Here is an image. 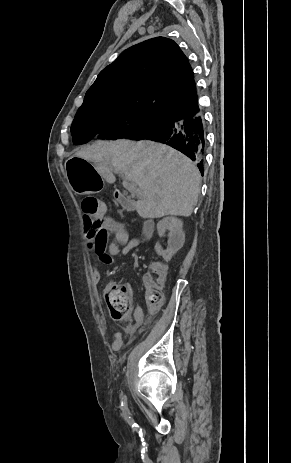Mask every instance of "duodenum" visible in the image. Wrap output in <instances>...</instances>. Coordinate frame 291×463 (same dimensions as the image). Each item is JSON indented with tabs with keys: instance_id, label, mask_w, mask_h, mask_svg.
Masks as SVG:
<instances>
[{
	"instance_id": "410a0bca",
	"label": "duodenum",
	"mask_w": 291,
	"mask_h": 463,
	"mask_svg": "<svg viewBox=\"0 0 291 463\" xmlns=\"http://www.w3.org/2000/svg\"><path fill=\"white\" fill-rule=\"evenodd\" d=\"M114 197L120 203V205L123 208H125L127 210H132L133 209V205H134L133 200L127 194H125L123 191L116 190L114 192ZM153 229H154L153 221H151V220L145 221L144 226H143V236H144L145 239H148V238H150L152 236Z\"/></svg>"
}]
</instances>
